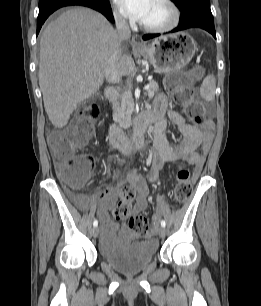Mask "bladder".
<instances>
[{
    "instance_id": "obj_1",
    "label": "bladder",
    "mask_w": 261,
    "mask_h": 306,
    "mask_svg": "<svg viewBox=\"0 0 261 306\" xmlns=\"http://www.w3.org/2000/svg\"><path fill=\"white\" fill-rule=\"evenodd\" d=\"M156 244L153 240L130 242L119 236L109 243H101V259L119 272L132 274L148 267L156 256Z\"/></svg>"
}]
</instances>
